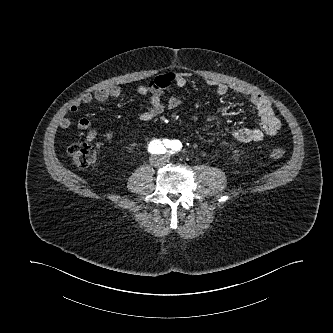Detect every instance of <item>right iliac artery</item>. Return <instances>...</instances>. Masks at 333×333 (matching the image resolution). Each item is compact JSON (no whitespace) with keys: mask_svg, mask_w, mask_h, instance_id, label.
I'll return each mask as SVG.
<instances>
[{"mask_svg":"<svg viewBox=\"0 0 333 333\" xmlns=\"http://www.w3.org/2000/svg\"><path fill=\"white\" fill-rule=\"evenodd\" d=\"M171 147V141L165 139L163 141L160 140H153L148 145V151L152 154H164L166 153V148Z\"/></svg>","mask_w":333,"mask_h":333,"instance_id":"right-iliac-artery-1","label":"right iliac artery"}]
</instances>
